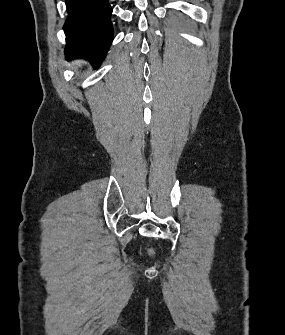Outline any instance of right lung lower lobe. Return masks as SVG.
Returning <instances> with one entry per match:
<instances>
[{"label":"right lung lower lobe","instance_id":"1","mask_svg":"<svg viewBox=\"0 0 285 335\" xmlns=\"http://www.w3.org/2000/svg\"><path fill=\"white\" fill-rule=\"evenodd\" d=\"M68 16L64 24L65 53L69 59H88L98 67L113 40L108 0H65Z\"/></svg>","mask_w":285,"mask_h":335}]
</instances>
